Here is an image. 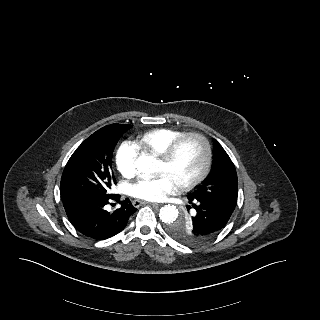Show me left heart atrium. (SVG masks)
<instances>
[{
  "instance_id": "left-heart-atrium-1",
  "label": "left heart atrium",
  "mask_w": 320,
  "mask_h": 320,
  "mask_svg": "<svg viewBox=\"0 0 320 320\" xmlns=\"http://www.w3.org/2000/svg\"><path fill=\"white\" fill-rule=\"evenodd\" d=\"M177 190L174 182L165 174L155 178H139L130 186V194L138 199L147 201L161 200L166 194Z\"/></svg>"
}]
</instances>
